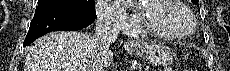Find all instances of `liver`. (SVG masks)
<instances>
[{
  "mask_svg": "<svg viewBox=\"0 0 230 71\" xmlns=\"http://www.w3.org/2000/svg\"><path fill=\"white\" fill-rule=\"evenodd\" d=\"M113 61L110 49H96L92 36L82 32H52L30 48L24 71H93Z\"/></svg>",
  "mask_w": 230,
  "mask_h": 71,
  "instance_id": "obj_1",
  "label": "liver"
}]
</instances>
